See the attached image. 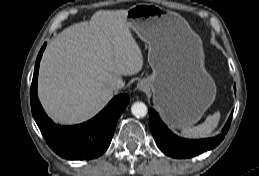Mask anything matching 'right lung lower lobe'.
Instances as JSON below:
<instances>
[{
  "mask_svg": "<svg viewBox=\"0 0 259 176\" xmlns=\"http://www.w3.org/2000/svg\"><path fill=\"white\" fill-rule=\"evenodd\" d=\"M45 47L46 43L38 54L31 84L33 117L49 147L59 156L69 160L96 158L108 148L118 118L129 103V97L126 94L115 96L98 115L83 124L61 126L53 123L45 114L37 96L38 70Z\"/></svg>",
  "mask_w": 259,
  "mask_h": 176,
  "instance_id": "obj_1",
  "label": "right lung lower lobe"
}]
</instances>
